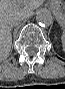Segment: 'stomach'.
Listing matches in <instances>:
<instances>
[{
  "instance_id": "1",
  "label": "stomach",
  "mask_w": 65,
  "mask_h": 89,
  "mask_svg": "<svg viewBox=\"0 0 65 89\" xmlns=\"http://www.w3.org/2000/svg\"><path fill=\"white\" fill-rule=\"evenodd\" d=\"M50 8L54 11L58 22L61 25L65 24V2L53 1L50 3Z\"/></svg>"
}]
</instances>
